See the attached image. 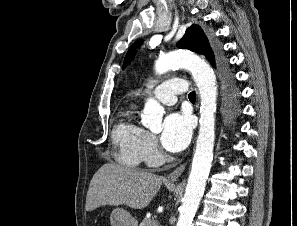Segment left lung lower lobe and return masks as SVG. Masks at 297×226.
Instances as JSON below:
<instances>
[{
    "instance_id": "left-lung-lower-lobe-1",
    "label": "left lung lower lobe",
    "mask_w": 297,
    "mask_h": 226,
    "mask_svg": "<svg viewBox=\"0 0 297 226\" xmlns=\"http://www.w3.org/2000/svg\"><path fill=\"white\" fill-rule=\"evenodd\" d=\"M235 98V97H234ZM231 99L230 101H229V103L227 104V106H228V112H229V114L230 115H237L238 113H239V107H238V105H237V103H236V101H235V99Z\"/></svg>"
}]
</instances>
